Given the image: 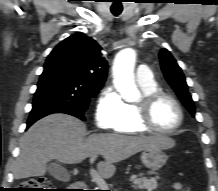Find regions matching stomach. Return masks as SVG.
I'll list each match as a JSON object with an SVG mask.
<instances>
[{
	"label": "stomach",
	"instance_id": "1",
	"mask_svg": "<svg viewBox=\"0 0 218 191\" xmlns=\"http://www.w3.org/2000/svg\"><path fill=\"white\" fill-rule=\"evenodd\" d=\"M167 155L163 152V149L149 148L143 151L141 155V161L143 165L152 171L159 170L167 162Z\"/></svg>",
	"mask_w": 218,
	"mask_h": 191
}]
</instances>
